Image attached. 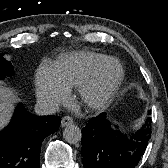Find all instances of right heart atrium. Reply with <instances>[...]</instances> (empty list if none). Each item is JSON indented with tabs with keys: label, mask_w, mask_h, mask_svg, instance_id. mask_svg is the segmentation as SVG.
<instances>
[{
	"label": "right heart atrium",
	"mask_w": 168,
	"mask_h": 168,
	"mask_svg": "<svg viewBox=\"0 0 168 168\" xmlns=\"http://www.w3.org/2000/svg\"><path fill=\"white\" fill-rule=\"evenodd\" d=\"M35 85L37 99L46 108H55L67 98L68 90L58 82L49 67L38 69Z\"/></svg>",
	"instance_id": "1"
}]
</instances>
